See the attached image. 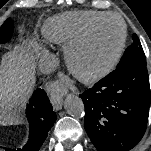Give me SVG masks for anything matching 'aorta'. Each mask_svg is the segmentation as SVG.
I'll use <instances>...</instances> for the list:
<instances>
[{
	"label": "aorta",
	"mask_w": 151,
	"mask_h": 151,
	"mask_svg": "<svg viewBox=\"0 0 151 151\" xmlns=\"http://www.w3.org/2000/svg\"><path fill=\"white\" fill-rule=\"evenodd\" d=\"M66 112L72 117H83L85 114L84 103L81 98L76 95H68L64 101Z\"/></svg>",
	"instance_id": "1"
}]
</instances>
